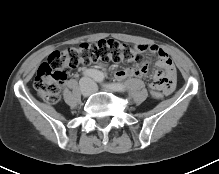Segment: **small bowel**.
Listing matches in <instances>:
<instances>
[{
	"label": "small bowel",
	"mask_w": 219,
	"mask_h": 174,
	"mask_svg": "<svg viewBox=\"0 0 219 174\" xmlns=\"http://www.w3.org/2000/svg\"><path fill=\"white\" fill-rule=\"evenodd\" d=\"M141 51H150L157 54L158 61L157 66L161 70H157L154 74V80L149 82L150 90H162L164 94L169 95L173 92L176 81V69L172 60L168 54L156 45L139 44L135 47ZM103 66V65H101ZM147 71V67L144 65L138 68H125L116 72L115 77L118 80H122L128 77H141Z\"/></svg>",
	"instance_id": "c3829d8e"
}]
</instances>
